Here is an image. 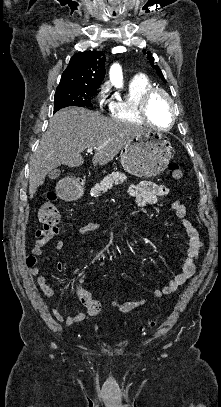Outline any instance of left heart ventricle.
Wrapping results in <instances>:
<instances>
[{"instance_id":"1","label":"left heart ventricle","mask_w":221,"mask_h":407,"mask_svg":"<svg viewBox=\"0 0 221 407\" xmlns=\"http://www.w3.org/2000/svg\"><path fill=\"white\" fill-rule=\"evenodd\" d=\"M149 113L153 123L167 127L171 121V109L165 97L156 96L150 106Z\"/></svg>"}]
</instances>
